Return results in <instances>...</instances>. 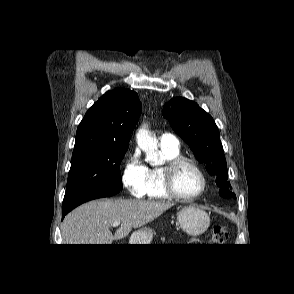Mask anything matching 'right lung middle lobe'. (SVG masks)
<instances>
[{"label": "right lung middle lobe", "instance_id": "1", "mask_svg": "<svg viewBox=\"0 0 294 294\" xmlns=\"http://www.w3.org/2000/svg\"><path fill=\"white\" fill-rule=\"evenodd\" d=\"M127 147H74L63 203L93 192L122 190L120 164Z\"/></svg>", "mask_w": 294, "mask_h": 294}]
</instances>
